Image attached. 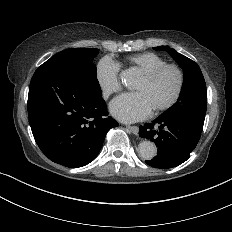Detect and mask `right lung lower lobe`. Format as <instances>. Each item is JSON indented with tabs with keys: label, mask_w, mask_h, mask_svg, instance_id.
Listing matches in <instances>:
<instances>
[{
	"label": "right lung lower lobe",
	"mask_w": 232,
	"mask_h": 232,
	"mask_svg": "<svg viewBox=\"0 0 232 232\" xmlns=\"http://www.w3.org/2000/svg\"><path fill=\"white\" fill-rule=\"evenodd\" d=\"M28 116L41 151L69 168L90 163L107 132L118 123L108 116L100 86L80 63L49 59L29 87Z\"/></svg>",
	"instance_id": "1"
}]
</instances>
